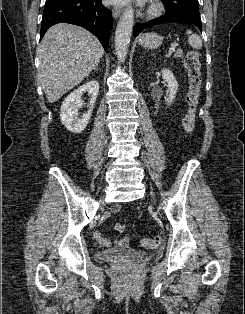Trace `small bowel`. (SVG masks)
Masks as SVG:
<instances>
[{
  "label": "small bowel",
  "mask_w": 245,
  "mask_h": 314,
  "mask_svg": "<svg viewBox=\"0 0 245 314\" xmlns=\"http://www.w3.org/2000/svg\"><path fill=\"white\" fill-rule=\"evenodd\" d=\"M118 210H119V206H117V205L112 206L111 211L104 213L103 218L104 219L109 218L112 213H116ZM116 229L118 231L122 232V231H124V226L121 224H117ZM93 235L97 239V241L100 245L109 246L111 244L110 240L102 237L100 231H94ZM128 242H129L128 236H123V237L117 238L115 240V243L119 246H126L128 244Z\"/></svg>",
  "instance_id": "small-bowel-1"
}]
</instances>
